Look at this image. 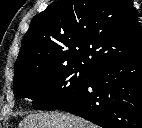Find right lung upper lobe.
<instances>
[{
  "label": "right lung upper lobe",
  "instance_id": "cb5924a9",
  "mask_svg": "<svg viewBox=\"0 0 142 128\" xmlns=\"http://www.w3.org/2000/svg\"><path fill=\"white\" fill-rule=\"evenodd\" d=\"M142 50L138 15L128 0H58L35 16L15 62V77L35 67L91 69Z\"/></svg>",
  "mask_w": 142,
  "mask_h": 128
}]
</instances>
